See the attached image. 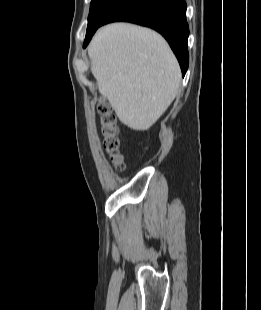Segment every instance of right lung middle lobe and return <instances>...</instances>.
<instances>
[{"label":"right lung middle lobe","instance_id":"1","mask_svg":"<svg viewBox=\"0 0 261 310\" xmlns=\"http://www.w3.org/2000/svg\"><path fill=\"white\" fill-rule=\"evenodd\" d=\"M125 1L127 0H92L86 34L100 26L101 23Z\"/></svg>","mask_w":261,"mask_h":310}]
</instances>
